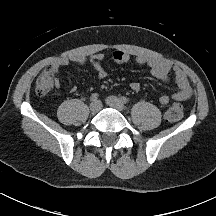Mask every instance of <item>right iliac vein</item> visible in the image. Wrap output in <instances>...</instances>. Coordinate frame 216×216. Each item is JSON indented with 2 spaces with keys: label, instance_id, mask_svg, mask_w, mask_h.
Segmentation results:
<instances>
[{
  "label": "right iliac vein",
  "instance_id": "1",
  "mask_svg": "<svg viewBox=\"0 0 216 216\" xmlns=\"http://www.w3.org/2000/svg\"><path fill=\"white\" fill-rule=\"evenodd\" d=\"M102 107V104L100 101H93L91 104H90V110L93 112V113H97L98 111H100Z\"/></svg>",
  "mask_w": 216,
  "mask_h": 216
}]
</instances>
